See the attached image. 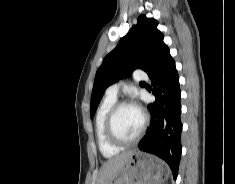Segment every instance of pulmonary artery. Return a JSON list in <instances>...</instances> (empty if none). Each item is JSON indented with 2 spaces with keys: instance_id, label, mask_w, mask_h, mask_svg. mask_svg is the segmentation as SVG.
<instances>
[{
  "instance_id": "pulmonary-artery-1",
  "label": "pulmonary artery",
  "mask_w": 235,
  "mask_h": 184,
  "mask_svg": "<svg viewBox=\"0 0 235 184\" xmlns=\"http://www.w3.org/2000/svg\"><path fill=\"white\" fill-rule=\"evenodd\" d=\"M132 74H134V77L136 79H139L141 77H146L145 73H141V69H132ZM119 84H112L107 87L106 89V96L111 97V98H117L118 93H119Z\"/></svg>"
}]
</instances>
